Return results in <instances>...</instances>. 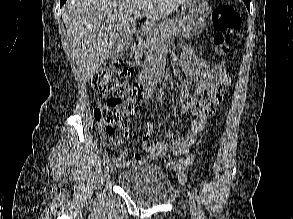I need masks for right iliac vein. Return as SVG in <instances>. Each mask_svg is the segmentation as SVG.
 I'll list each match as a JSON object with an SVG mask.
<instances>
[{
  "label": "right iliac vein",
  "instance_id": "obj_1",
  "mask_svg": "<svg viewBox=\"0 0 293 219\" xmlns=\"http://www.w3.org/2000/svg\"><path fill=\"white\" fill-rule=\"evenodd\" d=\"M112 172H113V165L112 164L107 165L105 169V176L107 179L110 177Z\"/></svg>",
  "mask_w": 293,
  "mask_h": 219
}]
</instances>
